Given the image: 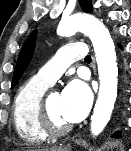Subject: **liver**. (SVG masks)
I'll list each match as a JSON object with an SVG mask.
<instances>
[{
    "instance_id": "liver-1",
    "label": "liver",
    "mask_w": 131,
    "mask_h": 151,
    "mask_svg": "<svg viewBox=\"0 0 131 151\" xmlns=\"http://www.w3.org/2000/svg\"><path fill=\"white\" fill-rule=\"evenodd\" d=\"M42 150H46V151H57V150H58V148L42 149Z\"/></svg>"
}]
</instances>
